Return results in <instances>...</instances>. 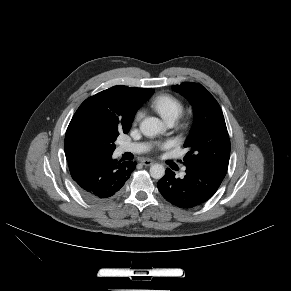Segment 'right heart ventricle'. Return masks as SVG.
Masks as SVG:
<instances>
[{
    "label": "right heart ventricle",
    "mask_w": 291,
    "mask_h": 291,
    "mask_svg": "<svg viewBox=\"0 0 291 291\" xmlns=\"http://www.w3.org/2000/svg\"><path fill=\"white\" fill-rule=\"evenodd\" d=\"M151 107L165 121H176L183 111L182 102L177 97L167 93L155 96L151 101Z\"/></svg>",
    "instance_id": "1"
}]
</instances>
